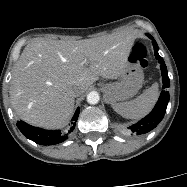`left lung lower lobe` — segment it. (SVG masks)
Here are the masks:
<instances>
[{
	"label": "left lung lower lobe",
	"instance_id": "left-lung-lower-lobe-1",
	"mask_svg": "<svg viewBox=\"0 0 187 187\" xmlns=\"http://www.w3.org/2000/svg\"><path fill=\"white\" fill-rule=\"evenodd\" d=\"M146 35L152 40L155 57L156 59H158V62L160 63L164 90L161 92V95L154 109L146 117H144L139 122L129 127L132 133L137 135L145 134L151 131L160 123V121L163 119L165 115L166 108L170 98L169 92L167 91V88H169L170 86V82H169L166 65L164 63L163 58L158 54V45L154 40V38L150 34H146Z\"/></svg>",
	"mask_w": 187,
	"mask_h": 187
}]
</instances>
